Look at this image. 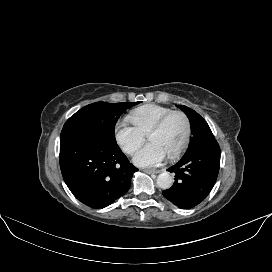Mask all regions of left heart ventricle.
Wrapping results in <instances>:
<instances>
[{
    "label": "left heart ventricle",
    "instance_id": "b2bd125f",
    "mask_svg": "<svg viewBox=\"0 0 272 272\" xmlns=\"http://www.w3.org/2000/svg\"><path fill=\"white\" fill-rule=\"evenodd\" d=\"M185 132L186 127L183 118L176 116L161 131L150 134L148 140L157 143L167 155L180 145Z\"/></svg>",
    "mask_w": 272,
    "mask_h": 272
}]
</instances>
